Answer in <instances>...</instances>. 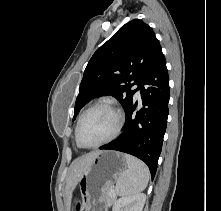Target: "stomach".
<instances>
[{
  "mask_svg": "<svg viewBox=\"0 0 221 211\" xmlns=\"http://www.w3.org/2000/svg\"><path fill=\"white\" fill-rule=\"evenodd\" d=\"M124 155L117 151H101L84 169L79 180L82 197L81 211H97L104 202L107 190L127 170Z\"/></svg>",
  "mask_w": 221,
  "mask_h": 211,
  "instance_id": "0dacf381",
  "label": "stomach"
}]
</instances>
